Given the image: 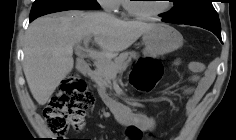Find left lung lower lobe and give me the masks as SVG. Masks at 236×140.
I'll use <instances>...</instances> for the list:
<instances>
[{
    "label": "left lung lower lobe",
    "instance_id": "left-lung-lower-lobe-1",
    "mask_svg": "<svg viewBox=\"0 0 236 140\" xmlns=\"http://www.w3.org/2000/svg\"><path fill=\"white\" fill-rule=\"evenodd\" d=\"M162 21L168 22V19L166 17H163ZM205 29H207V28H205ZM207 30H210L211 32H213L219 38V40L222 42V40H221V31H216V30H212V29H207Z\"/></svg>",
    "mask_w": 236,
    "mask_h": 140
}]
</instances>
